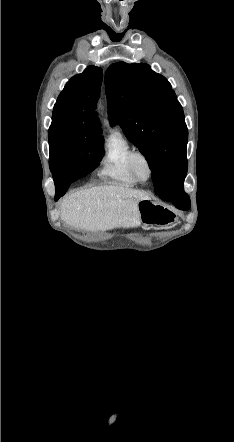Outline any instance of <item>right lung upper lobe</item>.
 Here are the masks:
<instances>
[{"label":"right lung upper lobe","instance_id":"1","mask_svg":"<svg viewBox=\"0 0 234 442\" xmlns=\"http://www.w3.org/2000/svg\"><path fill=\"white\" fill-rule=\"evenodd\" d=\"M102 77V69L95 66H89L83 73L73 76L54 105L52 121L70 122L85 134L101 136L95 109Z\"/></svg>","mask_w":234,"mask_h":442}]
</instances>
